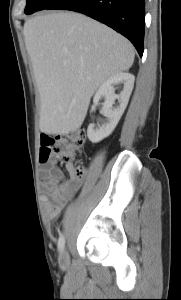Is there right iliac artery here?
I'll use <instances>...</instances> for the list:
<instances>
[{"instance_id":"1","label":"right iliac artery","mask_w":181,"mask_h":300,"mask_svg":"<svg viewBox=\"0 0 181 300\" xmlns=\"http://www.w3.org/2000/svg\"><path fill=\"white\" fill-rule=\"evenodd\" d=\"M65 246V237L63 234L60 235L59 240H58V249L59 251H62Z\"/></svg>"}]
</instances>
